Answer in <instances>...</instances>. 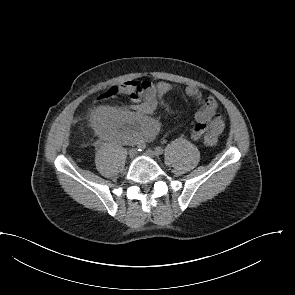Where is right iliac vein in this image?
<instances>
[{
  "instance_id": "1",
  "label": "right iliac vein",
  "mask_w": 295,
  "mask_h": 295,
  "mask_svg": "<svg viewBox=\"0 0 295 295\" xmlns=\"http://www.w3.org/2000/svg\"><path fill=\"white\" fill-rule=\"evenodd\" d=\"M137 151L136 149H130L128 152V155L130 158H133L136 155Z\"/></svg>"
}]
</instances>
